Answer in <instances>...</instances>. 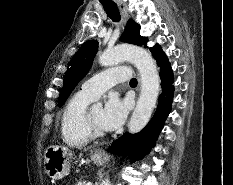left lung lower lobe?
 Masks as SVG:
<instances>
[{
	"label": "left lung lower lobe",
	"mask_w": 233,
	"mask_h": 185,
	"mask_svg": "<svg viewBox=\"0 0 233 185\" xmlns=\"http://www.w3.org/2000/svg\"><path fill=\"white\" fill-rule=\"evenodd\" d=\"M158 66L161 67L160 78L163 93L159 97L156 112L148 125L140 132L134 135L124 134L115 140L109 147L108 151L118 155H124L130 158L132 162L143 158L149 153L155 144L164 122L170 113L173 99L174 82L171 66L165 53L159 45L150 49Z\"/></svg>",
	"instance_id": "left-lung-lower-lobe-1"
}]
</instances>
